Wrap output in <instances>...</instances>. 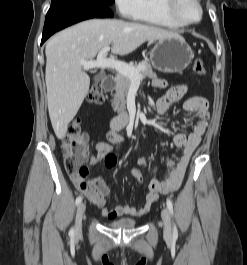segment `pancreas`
Returning <instances> with one entry per match:
<instances>
[{
	"instance_id": "pancreas-1",
	"label": "pancreas",
	"mask_w": 247,
	"mask_h": 265,
	"mask_svg": "<svg viewBox=\"0 0 247 265\" xmlns=\"http://www.w3.org/2000/svg\"><path fill=\"white\" fill-rule=\"evenodd\" d=\"M134 68H141L139 69V75L141 78L148 77L150 79H156L157 75L155 72H153L152 66L148 61H141L138 64H132L130 65ZM116 86H115V94L112 101V106L114 111H117L118 113L124 112L126 107V96L128 93V90L131 85V79L127 76H124L120 73H118L115 77Z\"/></svg>"
}]
</instances>
